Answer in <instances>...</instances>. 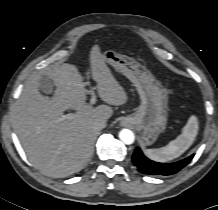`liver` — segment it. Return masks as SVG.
Returning <instances> with one entry per match:
<instances>
[{
    "mask_svg": "<svg viewBox=\"0 0 218 210\" xmlns=\"http://www.w3.org/2000/svg\"><path fill=\"white\" fill-rule=\"evenodd\" d=\"M92 78L100 98L108 105L86 103L87 91L79 70L71 64L49 67L30 77L14 109V128L21 146L36 169L52 178H64L80 171L93 154L99 130L94 123L113 114L109 105H123L127 95L95 45L90 51ZM49 77L56 91L53 99L39 92V80ZM67 109L76 110L73 119H62Z\"/></svg>",
    "mask_w": 218,
    "mask_h": 210,
    "instance_id": "6515ba94",
    "label": "liver"
}]
</instances>
